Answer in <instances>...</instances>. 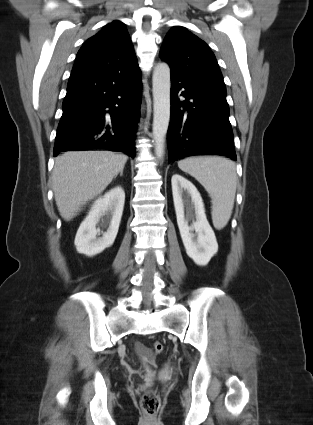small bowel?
<instances>
[{"label":"small bowel","mask_w":313,"mask_h":425,"mask_svg":"<svg viewBox=\"0 0 313 425\" xmlns=\"http://www.w3.org/2000/svg\"><path fill=\"white\" fill-rule=\"evenodd\" d=\"M138 348H139L140 350H143V349H144V347H143L142 345H138Z\"/></svg>","instance_id":"obj_1"}]
</instances>
